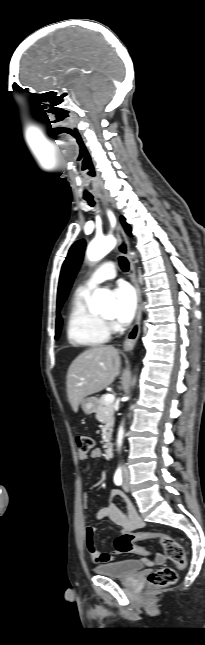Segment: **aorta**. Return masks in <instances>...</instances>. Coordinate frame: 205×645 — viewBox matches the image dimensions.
<instances>
[{"label": "aorta", "instance_id": "obj_1", "mask_svg": "<svg viewBox=\"0 0 205 645\" xmlns=\"http://www.w3.org/2000/svg\"><path fill=\"white\" fill-rule=\"evenodd\" d=\"M116 244L115 238L108 236L102 239L93 240L87 248V257L90 261H98L107 255ZM109 292L104 289H96L94 292L93 308L97 311H104L113 308ZM123 439V428L118 432L117 445L121 446Z\"/></svg>", "mask_w": 205, "mask_h": 645}]
</instances>
